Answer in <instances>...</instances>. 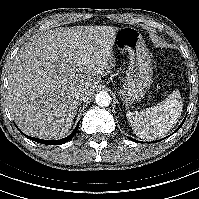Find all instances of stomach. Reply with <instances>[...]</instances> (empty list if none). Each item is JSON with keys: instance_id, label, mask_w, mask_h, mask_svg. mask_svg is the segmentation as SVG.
Segmentation results:
<instances>
[{"instance_id": "obj_1", "label": "stomach", "mask_w": 199, "mask_h": 199, "mask_svg": "<svg viewBox=\"0 0 199 199\" xmlns=\"http://www.w3.org/2000/svg\"><path fill=\"white\" fill-rule=\"evenodd\" d=\"M113 46L129 55L126 80L119 89L122 102L129 108L140 102L150 88L153 75L151 58L140 31L134 27L120 28Z\"/></svg>"}]
</instances>
